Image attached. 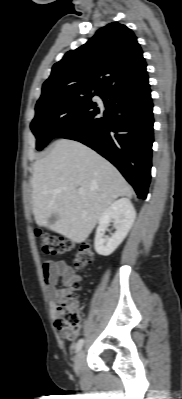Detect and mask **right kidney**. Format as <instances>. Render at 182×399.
<instances>
[{"label":"right kidney","instance_id":"ca27d5eb","mask_svg":"<svg viewBox=\"0 0 182 399\" xmlns=\"http://www.w3.org/2000/svg\"><path fill=\"white\" fill-rule=\"evenodd\" d=\"M135 218V209L128 198L114 201L99 218L94 241L96 252L102 256L112 254L127 236ZM112 220L116 225V231L111 237L105 238L104 233Z\"/></svg>","mask_w":182,"mask_h":399}]
</instances>
